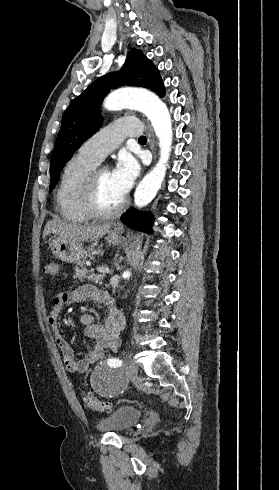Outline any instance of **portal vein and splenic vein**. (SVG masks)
<instances>
[{"label": "portal vein and splenic vein", "instance_id": "obj_1", "mask_svg": "<svg viewBox=\"0 0 279 490\" xmlns=\"http://www.w3.org/2000/svg\"><path fill=\"white\" fill-rule=\"evenodd\" d=\"M98 272H102V274H109L110 270L109 268H96Z\"/></svg>", "mask_w": 279, "mask_h": 490}]
</instances>
